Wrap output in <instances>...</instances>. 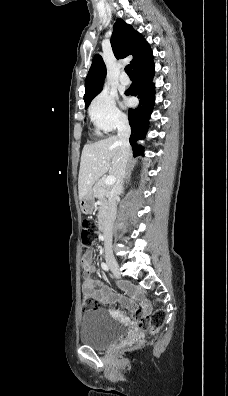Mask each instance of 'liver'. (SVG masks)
<instances>
[{
	"mask_svg": "<svg viewBox=\"0 0 228 396\" xmlns=\"http://www.w3.org/2000/svg\"><path fill=\"white\" fill-rule=\"evenodd\" d=\"M121 155L122 146L118 136H110L84 146L78 177L80 200L92 191L93 184L105 173L109 172L111 176L118 178Z\"/></svg>",
	"mask_w": 228,
	"mask_h": 396,
	"instance_id": "6515ba94",
	"label": "liver"
}]
</instances>
